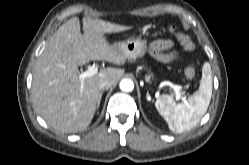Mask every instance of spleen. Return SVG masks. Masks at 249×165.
Wrapping results in <instances>:
<instances>
[{"label": "spleen", "mask_w": 249, "mask_h": 165, "mask_svg": "<svg viewBox=\"0 0 249 165\" xmlns=\"http://www.w3.org/2000/svg\"><path fill=\"white\" fill-rule=\"evenodd\" d=\"M212 71L208 62L202 67L198 91L185 102L176 104L169 95L157 98L155 107L166 120L172 132L182 133L195 127L206 113L212 96Z\"/></svg>", "instance_id": "obj_1"}]
</instances>
